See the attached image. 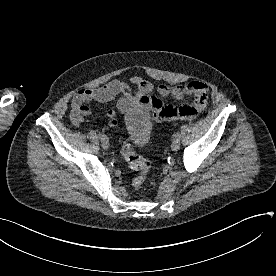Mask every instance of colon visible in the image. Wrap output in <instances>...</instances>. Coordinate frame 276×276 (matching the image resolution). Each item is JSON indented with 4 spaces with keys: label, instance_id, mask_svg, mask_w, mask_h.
Listing matches in <instances>:
<instances>
[{
    "label": "colon",
    "instance_id": "obj_1",
    "mask_svg": "<svg viewBox=\"0 0 276 276\" xmlns=\"http://www.w3.org/2000/svg\"><path fill=\"white\" fill-rule=\"evenodd\" d=\"M121 153L128 165L137 171V175L132 182L133 186L135 188L141 187L149 174L151 162L145 157L139 155L134 150L133 146L127 141L122 143Z\"/></svg>",
    "mask_w": 276,
    "mask_h": 276
}]
</instances>
